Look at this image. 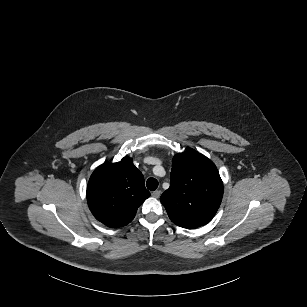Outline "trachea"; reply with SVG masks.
I'll list each match as a JSON object with an SVG mask.
<instances>
[{
  "label": "trachea",
  "mask_w": 307,
  "mask_h": 307,
  "mask_svg": "<svg viewBox=\"0 0 307 307\" xmlns=\"http://www.w3.org/2000/svg\"><path fill=\"white\" fill-rule=\"evenodd\" d=\"M146 186L149 190L154 191L158 187V181L155 178H149L146 182Z\"/></svg>",
  "instance_id": "1"
}]
</instances>
